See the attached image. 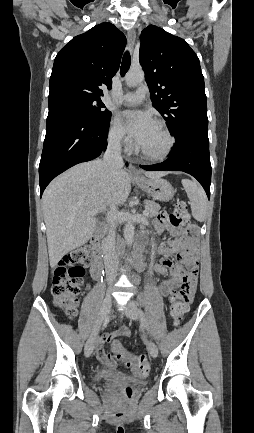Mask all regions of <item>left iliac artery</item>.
<instances>
[{
  "label": "left iliac artery",
  "mask_w": 254,
  "mask_h": 433,
  "mask_svg": "<svg viewBox=\"0 0 254 433\" xmlns=\"http://www.w3.org/2000/svg\"><path fill=\"white\" fill-rule=\"evenodd\" d=\"M139 316H140L142 324L146 327V329H147V331L149 333V328H148L147 320H146L145 314L143 313V311L141 309H139Z\"/></svg>",
  "instance_id": "obj_1"
}]
</instances>
